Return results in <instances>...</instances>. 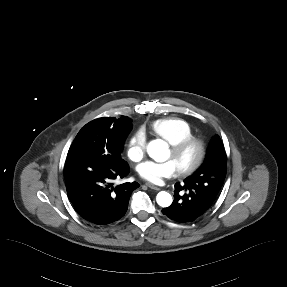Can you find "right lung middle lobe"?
Returning <instances> with one entry per match:
<instances>
[{
	"label": "right lung middle lobe",
	"instance_id": "dd1d6c3e",
	"mask_svg": "<svg viewBox=\"0 0 287 287\" xmlns=\"http://www.w3.org/2000/svg\"><path fill=\"white\" fill-rule=\"evenodd\" d=\"M132 124L123 129L117 138L109 141L101 137L97 128L91 122L81 128L71 144L67 157L86 153L94 154L114 163L122 162L121 152L126 136L130 132Z\"/></svg>",
	"mask_w": 287,
	"mask_h": 287
}]
</instances>
